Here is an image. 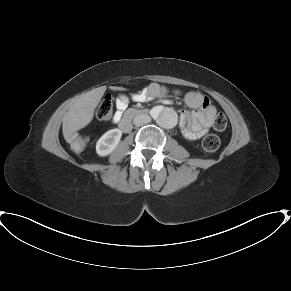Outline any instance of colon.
<instances>
[{
    "label": "colon",
    "instance_id": "5ec220e1",
    "mask_svg": "<svg viewBox=\"0 0 291 291\" xmlns=\"http://www.w3.org/2000/svg\"><path fill=\"white\" fill-rule=\"evenodd\" d=\"M113 113V99L107 94L101 100L96 116L99 120L106 121L110 119ZM227 126V118L223 113H218L214 119V128L216 130H224ZM73 149L80 151L84 148L85 142L83 138H76L71 142ZM202 146L207 152H215L220 147V139L214 134H208L202 141Z\"/></svg>",
    "mask_w": 291,
    "mask_h": 291
}]
</instances>
